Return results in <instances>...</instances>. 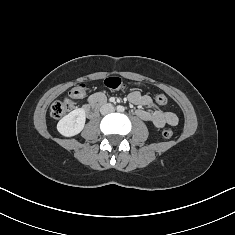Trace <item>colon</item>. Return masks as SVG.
<instances>
[{
  "instance_id": "colon-1",
  "label": "colon",
  "mask_w": 235,
  "mask_h": 235,
  "mask_svg": "<svg viewBox=\"0 0 235 235\" xmlns=\"http://www.w3.org/2000/svg\"><path fill=\"white\" fill-rule=\"evenodd\" d=\"M104 85L112 90H123L125 85L122 80L118 77H109L105 79ZM86 94V86L84 84H79L73 87L69 92V97L62 100L55 101L50 108L51 116L59 119L66 115L74 108V99H82ZM155 101L159 106H165L168 103V99L163 94H158L155 97ZM173 135V130L166 128L162 131V136L166 139L171 138Z\"/></svg>"
}]
</instances>
